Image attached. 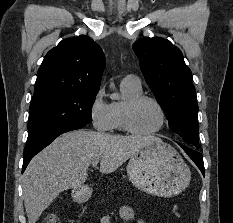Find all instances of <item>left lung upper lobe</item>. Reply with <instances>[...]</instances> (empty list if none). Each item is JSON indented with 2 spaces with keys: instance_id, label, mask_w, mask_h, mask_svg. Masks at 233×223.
Segmentation results:
<instances>
[{
  "instance_id": "1",
  "label": "left lung upper lobe",
  "mask_w": 233,
  "mask_h": 223,
  "mask_svg": "<svg viewBox=\"0 0 233 223\" xmlns=\"http://www.w3.org/2000/svg\"><path fill=\"white\" fill-rule=\"evenodd\" d=\"M133 50L170 129L199 148L196 90L180 49L166 39L144 37L133 44Z\"/></svg>"
}]
</instances>
